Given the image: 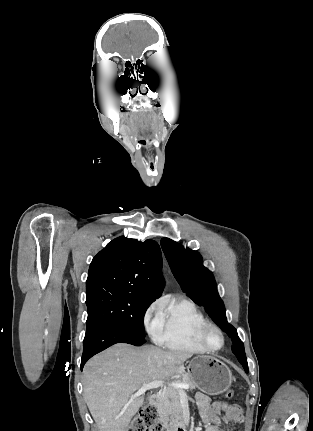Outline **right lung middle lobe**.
<instances>
[{"mask_svg":"<svg viewBox=\"0 0 313 431\" xmlns=\"http://www.w3.org/2000/svg\"><path fill=\"white\" fill-rule=\"evenodd\" d=\"M154 300L126 290H108L88 296L86 332L109 325L144 339V314Z\"/></svg>","mask_w":313,"mask_h":431,"instance_id":"dd1d6c3e","label":"right lung middle lobe"}]
</instances>
